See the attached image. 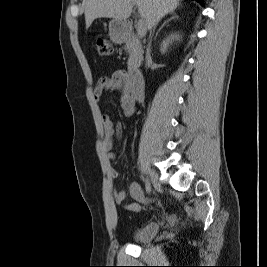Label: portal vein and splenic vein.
I'll use <instances>...</instances> for the list:
<instances>
[{"mask_svg": "<svg viewBox=\"0 0 267 267\" xmlns=\"http://www.w3.org/2000/svg\"><path fill=\"white\" fill-rule=\"evenodd\" d=\"M137 33L140 37H144L146 33V23L143 18L139 19L137 23Z\"/></svg>", "mask_w": 267, "mask_h": 267, "instance_id": "obj_1", "label": "portal vein and splenic vein"}]
</instances>
